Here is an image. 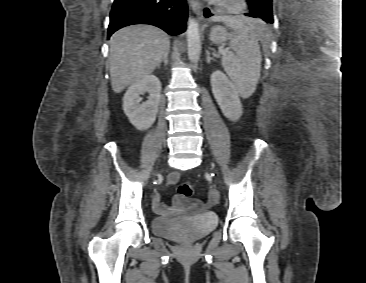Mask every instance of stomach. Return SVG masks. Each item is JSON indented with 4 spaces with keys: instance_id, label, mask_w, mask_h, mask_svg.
I'll return each mask as SVG.
<instances>
[{
    "instance_id": "0dacf381",
    "label": "stomach",
    "mask_w": 366,
    "mask_h": 283,
    "mask_svg": "<svg viewBox=\"0 0 366 283\" xmlns=\"http://www.w3.org/2000/svg\"><path fill=\"white\" fill-rule=\"evenodd\" d=\"M228 33L223 27H215L210 34V40L215 44H222L227 40Z\"/></svg>"
}]
</instances>
